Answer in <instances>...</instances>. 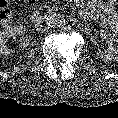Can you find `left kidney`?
<instances>
[{
    "mask_svg": "<svg viewBox=\"0 0 118 118\" xmlns=\"http://www.w3.org/2000/svg\"><path fill=\"white\" fill-rule=\"evenodd\" d=\"M100 36L108 44V49L105 52H103L101 50H97V52H96L97 56L104 61H109V60L118 61V38L116 37V35L108 32L106 30H101Z\"/></svg>",
    "mask_w": 118,
    "mask_h": 118,
    "instance_id": "left-kidney-1",
    "label": "left kidney"
}]
</instances>
